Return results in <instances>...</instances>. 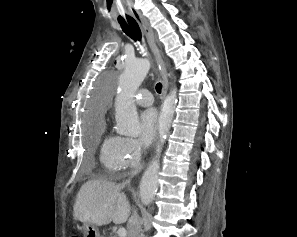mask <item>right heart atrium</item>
Masks as SVG:
<instances>
[{"label": "right heart atrium", "instance_id": "1", "mask_svg": "<svg viewBox=\"0 0 297 237\" xmlns=\"http://www.w3.org/2000/svg\"><path fill=\"white\" fill-rule=\"evenodd\" d=\"M143 153V147L137 140L123 138L121 153L123 169L136 168L142 160Z\"/></svg>", "mask_w": 297, "mask_h": 237}]
</instances>
